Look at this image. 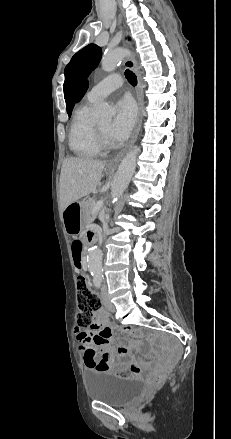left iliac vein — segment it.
Returning <instances> with one entry per match:
<instances>
[{
	"label": "left iliac vein",
	"mask_w": 231,
	"mask_h": 439,
	"mask_svg": "<svg viewBox=\"0 0 231 439\" xmlns=\"http://www.w3.org/2000/svg\"><path fill=\"white\" fill-rule=\"evenodd\" d=\"M101 296L105 307L111 312L115 311V307L110 301V298L108 296L107 286L105 284H103L101 287Z\"/></svg>",
	"instance_id": "4c4485c4"
}]
</instances>
